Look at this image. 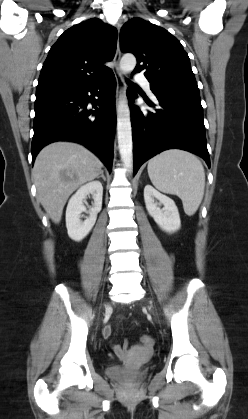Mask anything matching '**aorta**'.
<instances>
[{
    "mask_svg": "<svg viewBox=\"0 0 248 419\" xmlns=\"http://www.w3.org/2000/svg\"><path fill=\"white\" fill-rule=\"evenodd\" d=\"M120 69L123 73L131 72L136 66L133 54H125L120 60ZM117 137L121 161L128 170L132 168L133 145L130 109L125 94H121L117 106Z\"/></svg>",
    "mask_w": 248,
    "mask_h": 419,
    "instance_id": "obj_1",
    "label": "aorta"
}]
</instances>
